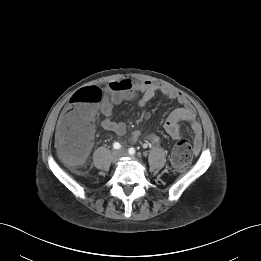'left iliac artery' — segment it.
I'll list each match as a JSON object with an SVG mask.
<instances>
[{
  "label": "left iliac artery",
  "instance_id": "obj_1",
  "mask_svg": "<svg viewBox=\"0 0 261 261\" xmlns=\"http://www.w3.org/2000/svg\"><path fill=\"white\" fill-rule=\"evenodd\" d=\"M128 152L129 154L134 155L136 153V150L134 148H129Z\"/></svg>",
  "mask_w": 261,
  "mask_h": 261
}]
</instances>
